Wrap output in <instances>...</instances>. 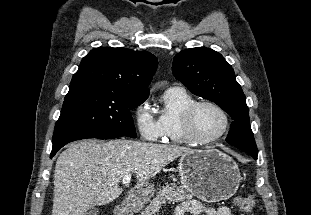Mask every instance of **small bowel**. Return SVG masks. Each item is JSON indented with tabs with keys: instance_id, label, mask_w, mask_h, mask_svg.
<instances>
[{
	"instance_id": "small-bowel-1",
	"label": "small bowel",
	"mask_w": 311,
	"mask_h": 215,
	"mask_svg": "<svg viewBox=\"0 0 311 215\" xmlns=\"http://www.w3.org/2000/svg\"><path fill=\"white\" fill-rule=\"evenodd\" d=\"M234 215L227 207L213 208L198 200H189L179 204L175 215Z\"/></svg>"
}]
</instances>
